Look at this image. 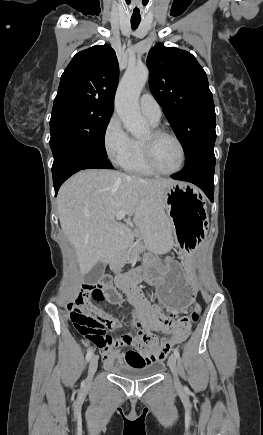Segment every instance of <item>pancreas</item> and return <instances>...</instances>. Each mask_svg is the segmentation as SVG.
Masks as SVG:
<instances>
[{"label":"pancreas","instance_id":"1","mask_svg":"<svg viewBox=\"0 0 263 435\" xmlns=\"http://www.w3.org/2000/svg\"><path fill=\"white\" fill-rule=\"evenodd\" d=\"M141 249L140 239L136 240L131 246L124 251L122 254H120L114 264L113 269L118 268L120 265L124 264L125 261H127L131 256H133L137 251Z\"/></svg>","mask_w":263,"mask_h":435}]
</instances>
